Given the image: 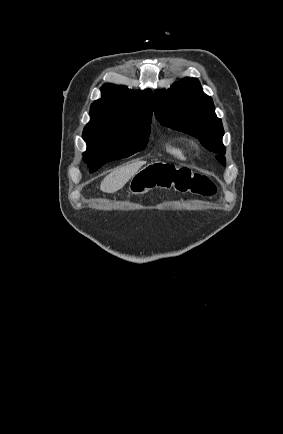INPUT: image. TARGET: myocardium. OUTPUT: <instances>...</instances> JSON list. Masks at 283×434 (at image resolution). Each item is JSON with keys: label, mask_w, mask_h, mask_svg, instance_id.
Returning <instances> with one entry per match:
<instances>
[{"label": "myocardium", "mask_w": 283, "mask_h": 434, "mask_svg": "<svg viewBox=\"0 0 283 434\" xmlns=\"http://www.w3.org/2000/svg\"><path fill=\"white\" fill-rule=\"evenodd\" d=\"M190 143H191V146H192L193 148H198V142H197V141L192 140Z\"/></svg>", "instance_id": "f54148a6"}]
</instances>
